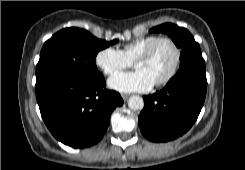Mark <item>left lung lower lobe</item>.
Returning <instances> with one entry per match:
<instances>
[{
    "instance_id": "0a47b994",
    "label": "left lung lower lobe",
    "mask_w": 245,
    "mask_h": 170,
    "mask_svg": "<svg viewBox=\"0 0 245 170\" xmlns=\"http://www.w3.org/2000/svg\"><path fill=\"white\" fill-rule=\"evenodd\" d=\"M206 89L205 72L178 71L163 90L144 97V109L138 117L142 134L153 142L182 136L197 120Z\"/></svg>"
}]
</instances>
